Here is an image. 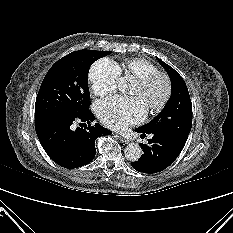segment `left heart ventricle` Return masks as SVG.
I'll return each instance as SVG.
<instances>
[{
    "instance_id": "obj_1",
    "label": "left heart ventricle",
    "mask_w": 233,
    "mask_h": 233,
    "mask_svg": "<svg viewBox=\"0 0 233 233\" xmlns=\"http://www.w3.org/2000/svg\"><path fill=\"white\" fill-rule=\"evenodd\" d=\"M165 93V83L163 79L156 78L145 88H140L134 84L131 94L138 97L146 109L156 105Z\"/></svg>"
}]
</instances>
